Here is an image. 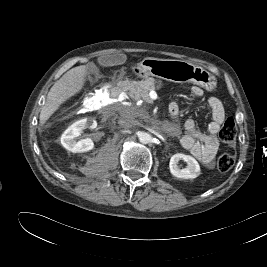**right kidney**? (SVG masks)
Masks as SVG:
<instances>
[{
	"instance_id": "1",
	"label": "right kidney",
	"mask_w": 267,
	"mask_h": 267,
	"mask_svg": "<svg viewBox=\"0 0 267 267\" xmlns=\"http://www.w3.org/2000/svg\"><path fill=\"white\" fill-rule=\"evenodd\" d=\"M96 127L97 122L92 119L85 118L76 121L71 126H69L62 134V146L73 153H82L92 150L94 148V143L90 138L81 139L79 141H77L76 138L81 135L84 129H94Z\"/></svg>"
}]
</instances>
